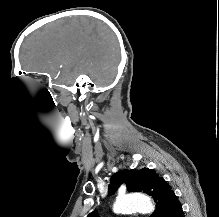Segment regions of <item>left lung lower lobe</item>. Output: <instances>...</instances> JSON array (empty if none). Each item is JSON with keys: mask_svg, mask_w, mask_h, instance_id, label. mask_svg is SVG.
Masks as SVG:
<instances>
[{"mask_svg": "<svg viewBox=\"0 0 219 217\" xmlns=\"http://www.w3.org/2000/svg\"><path fill=\"white\" fill-rule=\"evenodd\" d=\"M170 217H185L180 203H177L175 205V208L171 213Z\"/></svg>", "mask_w": 219, "mask_h": 217, "instance_id": "left-lung-lower-lobe-1", "label": "left lung lower lobe"}]
</instances>
